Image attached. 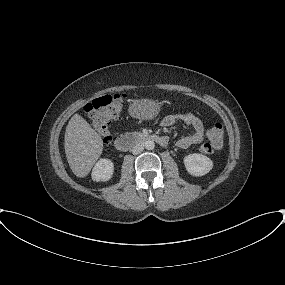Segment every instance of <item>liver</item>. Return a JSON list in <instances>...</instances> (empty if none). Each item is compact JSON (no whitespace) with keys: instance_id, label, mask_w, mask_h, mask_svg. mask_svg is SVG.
<instances>
[{"instance_id":"6515ba94","label":"liver","mask_w":285,"mask_h":285,"mask_svg":"<svg viewBox=\"0 0 285 285\" xmlns=\"http://www.w3.org/2000/svg\"><path fill=\"white\" fill-rule=\"evenodd\" d=\"M64 141L70 169L77 177L87 176L103 150L100 135L76 113L66 127Z\"/></svg>"}]
</instances>
